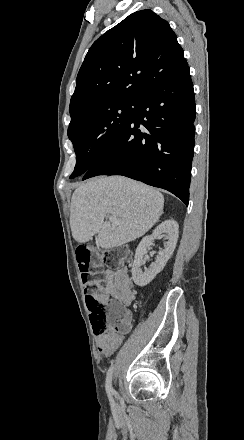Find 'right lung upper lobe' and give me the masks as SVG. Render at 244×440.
<instances>
[{"label": "right lung upper lobe", "mask_w": 244, "mask_h": 440, "mask_svg": "<svg viewBox=\"0 0 244 440\" xmlns=\"http://www.w3.org/2000/svg\"><path fill=\"white\" fill-rule=\"evenodd\" d=\"M185 62L166 20L152 10L134 12L90 47L69 110L107 98H140L156 76Z\"/></svg>", "instance_id": "right-lung-upper-lobe-1"}]
</instances>
